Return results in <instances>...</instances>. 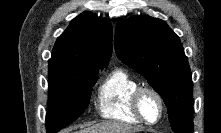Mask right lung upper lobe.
Segmentation results:
<instances>
[{
    "label": "right lung upper lobe",
    "mask_w": 221,
    "mask_h": 133,
    "mask_svg": "<svg viewBox=\"0 0 221 133\" xmlns=\"http://www.w3.org/2000/svg\"><path fill=\"white\" fill-rule=\"evenodd\" d=\"M112 54V25L105 18L84 12L73 19L57 38L48 62V72L76 66L108 63Z\"/></svg>",
    "instance_id": "obj_1"
}]
</instances>
